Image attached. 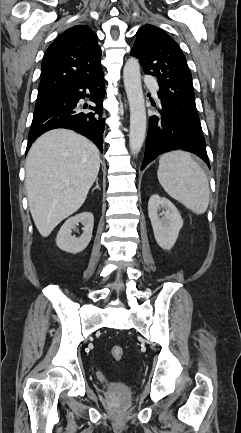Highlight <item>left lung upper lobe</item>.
Returning <instances> with one entry per match:
<instances>
[{
  "label": "left lung upper lobe",
  "mask_w": 241,
  "mask_h": 433,
  "mask_svg": "<svg viewBox=\"0 0 241 433\" xmlns=\"http://www.w3.org/2000/svg\"><path fill=\"white\" fill-rule=\"evenodd\" d=\"M131 55L139 59L145 74L157 77L161 101L202 132L192 76L178 44L161 29L146 24L137 32Z\"/></svg>",
  "instance_id": "5c2ea615"
}]
</instances>
